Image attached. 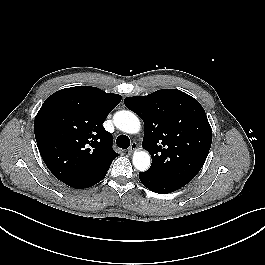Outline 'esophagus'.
<instances>
[{
    "label": "esophagus",
    "instance_id": "obj_1",
    "mask_svg": "<svg viewBox=\"0 0 265 265\" xmlns=\"http://www.w3.org/2000/svg\"><path fill=\"white\" fill-rule=\"evenodd\" d=\"M136 149H137V143L133 142L127 152L128 154H132Z\"/></svg>",
    "mask_w": 265,
    "mask_h": 265
}]
</instances>
